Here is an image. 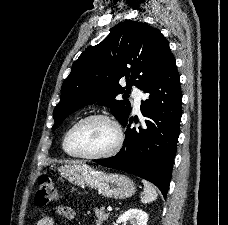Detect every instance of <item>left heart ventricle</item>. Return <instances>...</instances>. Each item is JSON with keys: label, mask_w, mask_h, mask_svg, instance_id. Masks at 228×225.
I'll return each mask as SVG.
<instances>
[{"label": "left heart ventricle", "mask_w": 228, "mask_h": 225, "mask_svg": "<svg viewBox=\"0 0 228 225\" xmlns=\"http://www.w3.org/2000/svg\"><path fill=\"white\" fill-rule=\"evenodd\" d=\"M115 143L113 128L99 119L81 123L68 138V149L74 154H101Z\"/></svg>", "instance_id": "1"}]
</instances>
